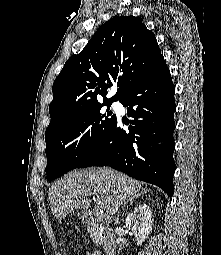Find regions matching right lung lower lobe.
<instances>
[{
  "mask_svg": "<svg viewBox=\"0 0 221 255\" xmlns=\"http://www.w3.org/2000/svg\"><path fill=\"white\" fill-rule=\"evenodd\" d=\"M175 87L163 56L119 100L131 117L117 119L90 154L76 167L107 166L152 183L168 196L174 192Z\"/></svg>",
  "mask_w": 221,
  "mask_h": 255,
  "instance_id": "1",
  "label": "right lung lower lobe"
}]
</instances>
